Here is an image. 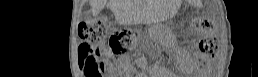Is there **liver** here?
Instances as JSON below:
<instances>
[{"label": "liver", "instance_id": "liver-1", "mask_svg": "<svg viewBox=\"0 0 258 77\" xmlns=\"http://www.w3.org/2000/svg\"><path fill=\"white\" fill-rule=\"evenodd\" d=\"M106 2L107 0L90 1L93 16L100 13V11L105 7ZM109 6L117 21L125 24H130L133 22L135 8L130 0H110Z\"/></svg>", "mask_w": 258, "mask_h": 77}]
</instances>
